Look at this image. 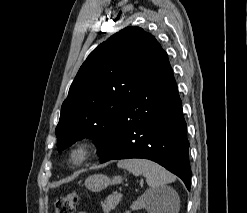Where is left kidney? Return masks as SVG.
I'll return each instance as SVG.
<instances>
[{"label": "left kidney", "instance_id": "left-kidney-1", "mask_svg": "<svg viewBox=\"0 0 247 213\" xmlns=\"http://www.w3.org/2000/svg\"><path fill=\"white\" fill-rule=\"evenodd\" d=\"M164 196L160 195L159 190H148L142 196H140L135 202H133L131 208H145L148 213H161V204Z\"/></svg>", "mask_w": 247, "mask_h": 213}]
</instances>
